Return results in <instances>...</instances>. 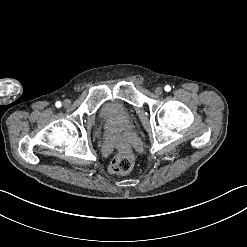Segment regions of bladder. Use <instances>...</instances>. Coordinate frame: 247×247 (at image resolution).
<instances>
[{
	"label": "bladder",
	"instance_id": "31cf9c89",
	"mask_svg": "<svg viewBox=\"0 0 247 247\" xmlns=\"http://www.w3.org/2000/svg\"><path fill=\"white\" fill-rule=\"evenodd\" d=\"M103 122L106 125L114 127H129L132 123L131 117L120 115L119 111L111 106H107L103 109Z\"/></svg>",
	"mask_w": 247,
	"mask_h": 247
}]
</instances>
